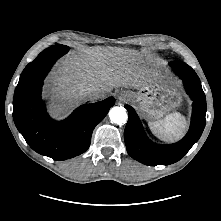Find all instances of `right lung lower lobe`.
Segmentation results:
<instances>
[{
    "label": "right lung lower lobe",
    "mask_w": 221,
    "mask_h": 221,
    "mask_svg": "<svg viewBox=\"0 0 221 221\" xmlns=\"http://www.w3.org/2000/svg\"><path fill=\"white\" fill-rule=\"evenodd\" d=\"M68 50L47 48L21 73L13 98V119L19 132L37 153L65 160L85 152L95 126L114 105L113 97L78 107L64 121L52 120L41 100L43 80Z\"/></svg>",
    "instance_id": "obj_1"
}]
</instances>
